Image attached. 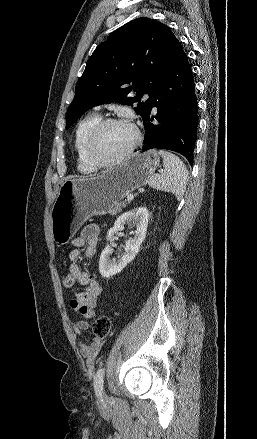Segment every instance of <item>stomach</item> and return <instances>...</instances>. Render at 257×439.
Here are the masks:
<instances>
[{
	"instance_id": "0dacf381",
	"label": "stomach",
	"mask_w": 257,
	"mask_h": 439,
	"mask_svg": "<svg viewBox=\"0 0 257 439\" xmlns=\"http://www.w3.org/2000/svg\"><path fill=\"white\" fill-rule=\"evenodd\" d=\"M159 162V153L148 150L99 175L64 181L51 209L54 241L67 244L88 218L109 213L114 204L149 182Z\"/></svg>"
}]
</instances>
